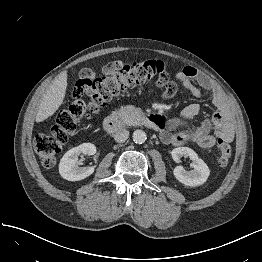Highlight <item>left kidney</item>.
<instances>
[{
    "label": "left kidney",
    "instance_id": "5707ae66",
    "mask_svg": "<svg viewBox=\"0 0 262 262\" xmlns=\"http://www.w3.org/2000/svg\"><path fill=\"white\" fill-rule=\"evenodd\" d=\"M172 158L175 162H180L182 157H189L192 160L193 170L187 171L182 166H176L173 170L175 178L186 186H199L206 182L210 170L207 164L198 157L197 153L188 147H178L172 150Z\"/></svg>",
    "mask_w": 262,
    "mask_h": 262
}]
</instances>
